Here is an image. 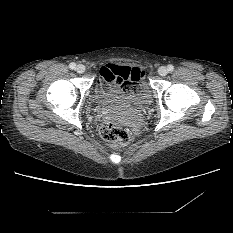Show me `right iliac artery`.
<instances>
[{
    "mask_svg": "<svg viewBox=\"0 0 233 233\" xmlns=\"http://www.w3.org/2000/svg\"><path fill=\"white\" fill-rule=\"evenodd\" d=\"M69 67H70L71 69H75L76 64H75L74 62H72V63L69 64Z\"/></svg>",
    "mask_w": 233,
    "mask_h": 233,
    "instance_id": "right-iliac-artery-1",
    "label": "right iliac artery"
}]
</instances>
